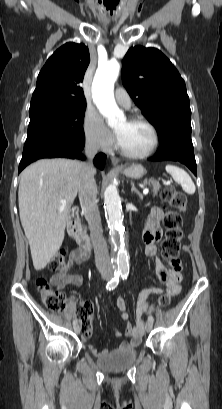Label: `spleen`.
I'll use <instances>...</instances> for the list:
<instances>
[{
  "label": "spleen",
  "mask_w": 222,
  "mask_h": 409,
  "mask_svg": "<svg viewBox=\"0 0 222 409\" xmlns=\"http://www.w3.org/2000/svg\"><path fill=\"white\" fill-rule=\"evenodd\" d=\"M166 171L181 185L184 192L190 195L195 193V185L186 171L174 165H167Z\"/></svg>",
  "instance_id": "spleen-1"
}]
</instances>
